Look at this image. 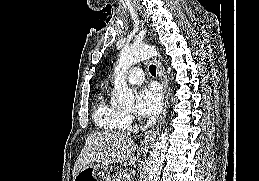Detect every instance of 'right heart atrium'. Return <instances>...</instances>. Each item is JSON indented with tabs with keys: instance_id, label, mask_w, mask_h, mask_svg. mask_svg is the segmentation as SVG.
<instances>
[{
	"instance_id": "obj_1",
	"label": "right heart atrium",
	"mask_w": 259,
	"mask_h": 181,
	"mask_svg": "<svg viewBox=\"0 0 259 181\" xmlns=\"http://www.w3.org/2000/svg\"><path fill=\"white\" fill-rule=\"evenodd\" d=\"M126 118H127L128 125H130V124H132V123H133L134 119H133V117H132V116H130V115H126Z\"/></svg>"
}]
</instances>
